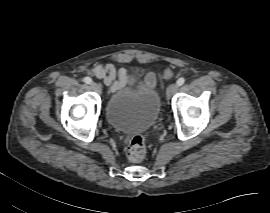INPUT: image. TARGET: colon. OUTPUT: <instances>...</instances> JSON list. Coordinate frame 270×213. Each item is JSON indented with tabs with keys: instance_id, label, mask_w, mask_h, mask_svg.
Masks as SVG:
<instances>
[{
	"instance_id": "colon-1",
	"label": "colon",
	"mask_w": 270,
	"mask_h": 213,
	"mask_svg": "<svg viewBox=\"0 0 270 213\" xmlns=\"http://www.w3.org/2000/svg\"><path fill=\"white\" fill-rule=\"evenodd\" d=\"M173 74L170 67L166 68L163 72L164 79H168ZM126 156L131 162H140L146 156V145L143 134L134 135L126 148Z\"/></svg>"
}]
</instances>
